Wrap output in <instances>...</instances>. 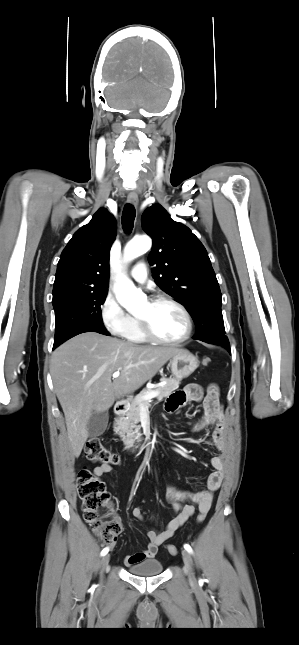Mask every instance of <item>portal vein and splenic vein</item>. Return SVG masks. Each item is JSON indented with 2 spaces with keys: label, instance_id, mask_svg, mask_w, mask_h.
Returning a JSON list of instances; mask_svg holds the SVG:
<instances>
[{
  "label": "portal vein and splenic vein",
  "instance_id": "1",
  "mask_svg": "<svg viewBox=\"0 0 299 645\" xmlns=\"http://www.w3.org/2000/svg\"><path fill=\"white\" fill-rule=\"evenodd\" d=\"M120 375V371H116L112 374L113 378H117ZM159 393L156 391L150 392L146 394L145 396L142 397V400H151L152 398L156 397Z\"/></svg>",
  "mask_w": 299,
  "mask_h": 645
}]
</instances>
